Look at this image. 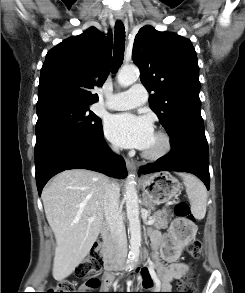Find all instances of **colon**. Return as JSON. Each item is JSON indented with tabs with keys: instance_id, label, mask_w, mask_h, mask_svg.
I'll use <instances>...</instances> for the list:
<instances>
[{
	"instance_id": "colon-1",
	"label": "colon",
	"mask_w": 245,
	"mask_h": 293,
	"mask_svg": "<svg viewBox=\"0 0 245 293\" xmlns=\"http://www.w3.org/2000/svg\"><path fill=\"white\" fill-rule=\"evenodd\" d=\"M175 214L181 220L176 221L171 228V235L174 238L181 237L188 232L187 224L193 221V217L189 206L185 202H180L175 205ZM101 241H98L91 254L81 262L76 270L75 275L87 280V287H96L99 283L92 276L97 273L103 266L102 255L100 252ZM189 254L193 259L199 260L203 256V244L201 240H194L189 245ZM193 274H189L188 278L178 285L179 291L172 293H193V288L190 280ZM78 288L68 280H62L50 286L44 293H90V292H76Z\"/></svg>"
}]
</instances>
